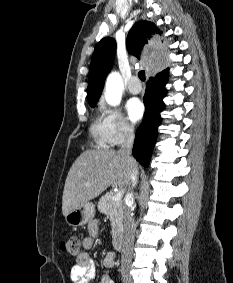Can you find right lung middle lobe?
I'll use <instances>...</instances> for the list:
<instances>
[{
	"mask_svg": "<svg viewBox=\"0 0 233 283\" xmlns=\"http://www.w3.org/2000/svg\"><path fill=\"white\" fill-rule=\"evenodd\" d=\"M91 107H95V105H91Z\"/></svg>",
	"mask_w": 233,
	"mask_h": 283,
	"instance_id": "1",
	"label": "right lung middle lobe"
}]
</instances>
